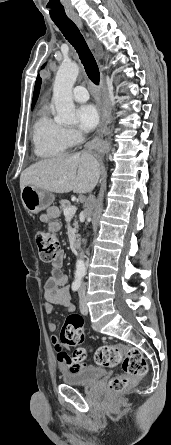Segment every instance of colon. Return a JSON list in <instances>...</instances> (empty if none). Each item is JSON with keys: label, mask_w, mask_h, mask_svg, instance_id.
<instances>
[{"label": "colon", "mask_w": 171, "mask_h": 445, "mask_svg": "<svg viewBox=\"0 0 171 445\" xmlns=\"http://www.w3.org/2000/svg\"><path fill=\"white\" fill-rule=\"evenodd\" d=\"M35 240L40 259L47 263L53 262L59 253L58 237L50 231L39 229L35 233ZM83 323L84 320L80 315L68 316L60 335L63 344L76 347L72 354V358L76 361L85 358V350L82 348ZM95 361L102 367H113L121 363L123 372L113 377L108 383V391L112 394L128 390L147 372V363L140 350L119 343L98 348L95 352Z\"/></svg>", "instance_id": "colon-1"}]
</instances>
